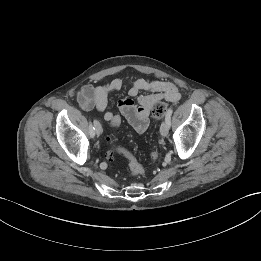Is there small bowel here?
<instances>
[{"mask_svg":"<svg viewBox=\"0 0 261 261\" xmlns=\"http://www.w3.org/2000/svg\"><path fill=\"white\" fill-rule=\"evenodd\" d=\"M128 87V97L119 100L118 109L123 117L138 133L146 131L149 125V115L154 104L160 100L178 102L181 93L178 87L166 80H123L112 79L102 85H84L77 95L79 105L85 111L96 110L103 112L108 105V95L112 91H119ZM120 118L111 111L103 115L105 121ZM121 119V118H120Z\"/></svg>","mask_w":261,"mask_h":261,"instance_id":"obj_1","label":"small bowel"}]
</instances>
